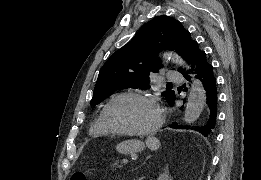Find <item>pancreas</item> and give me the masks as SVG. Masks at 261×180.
<instances>
[{
  "label": "pancreas",
  "mask_w": 261,
  "mask_h": 180,
  "mask_svg": "<svg viewBox=\"0 0 261 180\" xmlns=\"http://www.w3.org/2000/svg\"><path fill=\"white\" fill-rule=\"evenodd\" d=\"M110 166L112 167L113 170H121V164L119 159H113L112 162L110 163Z\"/></svg>",
  "instance_id": "obj_1"
}]
</instances>
